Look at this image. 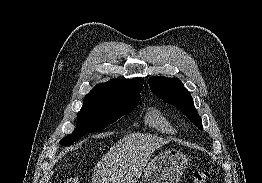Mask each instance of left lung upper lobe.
<instances>
[{"instance_id": "1", "label": "left lung upper lobe", "mask_w": 262, "mask_h": 183, "mask_svg": "<svg viewBox=\"0 0 262 183\" xmlns=\"http://www.w3.org/2000/svg\"><path fill=\"white\" fill-rule=\"evenodd\" d=\"M149 86L157 97L177 107L200 130H203L202 119L194 107L191 94L178 78L154 76L149 79Z\"/></svg>"}]
</instances>
